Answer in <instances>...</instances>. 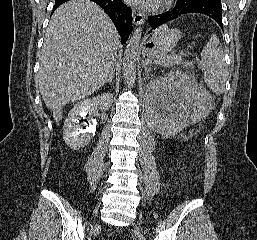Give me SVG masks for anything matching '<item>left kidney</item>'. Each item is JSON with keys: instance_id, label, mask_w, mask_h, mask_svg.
<instances>
[{"instance_id": "5707ae66", "label": "left kidney", "mask_w": 257, "mask_h": 240, "mask_svg": "<svg viewBox=\"0 0 257 240\" xmlns=\"http://www.w3.org/2000/svg\"><path fill=\"white\" fill-rule=\"evenodd\" d=\"M144 105L152 130L174 135L202 120L210 103L207 91L191 76L173 72L146 86Z\"/></svg>"}]
</instances>
